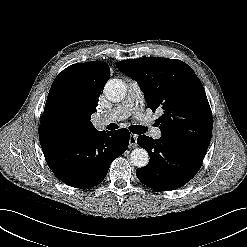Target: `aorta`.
<instances>
[{"label":"aorta","instance_id":"1","mask_svg":"<svg viewBox=\"0 0 247 247\" xmlns=\"http://www.w3.org/2000/svg\"><path fill=\"white\" fill-rule=\"evenodd\" d=\"M127 92L125 82L120 79H110L104 86V93L108 100L112 102L122 101ZM130 161L136 167H144L149 162V154L143 148H136L130 154Z\"/></svg>","mask_w":247,"mask_h":247}]
</instances>
